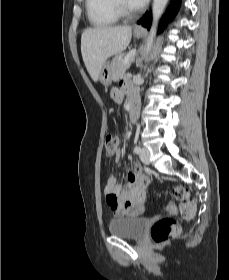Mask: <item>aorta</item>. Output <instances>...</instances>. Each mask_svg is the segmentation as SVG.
Here are the masks:
<instances>
[{"mask_svg": "<svg viewBox=\"0 0 229 280\" xmlns=\"http://www.w3.org/2000/svg\"><path fill=\"white\" fill-rule=\"evenodd\" d=\"M168 0H153V26L150 31V35L148 37L146 46H145V53L148 55V53L151 50L152 44H153V38L155 36V30H156V24L162 15L166 5H167Z\"/></svg>", "mask_w": 229, "mask_h": 280, "instance_id": "aorta-1", "label": "aorta"}]
</instances>
